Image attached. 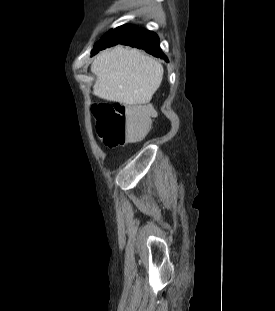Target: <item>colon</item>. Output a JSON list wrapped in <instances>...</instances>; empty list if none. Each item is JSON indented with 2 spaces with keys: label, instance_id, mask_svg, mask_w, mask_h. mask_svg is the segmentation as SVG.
<instances>
[{
  "label": "colon",
  "instance_id": "obj_1",
  "mask_svg": "<svg viewBox=\"0 0 275 311\" xmlns=\"http://www.w3.org/2000/svg\"><path fill=\"white\" fill-rule=\"evenodd\" d=\"M99 138L107 148L142 139L150 129L153 107L100 103L93 107Z\"/></svg>",
  "mask_w": 275,
  "mask_h": 311
}]
</instances>
